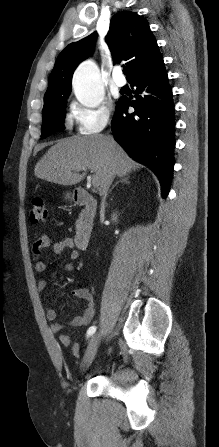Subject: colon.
I'll list each match as a JSON object with an SVG mask.
<instances>
[{
  "mask_svg": "<svg viewBox=\"0 0 219 447\" xmlns=\"http://www.w3.org/2000/svg\"><path fill=\"white\" fill-rule=\"evenodd\" d=\"M29 217L32 223H41L46 221L47 209L45 200L42 197H36L33 199Z\"/></svg>",
  "mask_w": 219,
  "mask_h": 447,
  "instance_id": "colon-1",
  "label": "colon"
}]
</instances>
